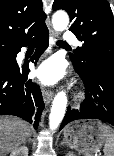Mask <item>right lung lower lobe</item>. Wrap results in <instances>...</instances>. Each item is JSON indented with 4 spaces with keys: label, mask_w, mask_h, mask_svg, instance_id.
<instances>
[{
    "label": "right lung lower lobe",
    "mask_w": 114,
    "mask_h": 156,
    "mask_svg": "<svg viewBox=\"0 0 114 156\" xmlns=\"http://www.w3.org/2000/svg\"><path fill=\"white\" fill-rule=\"evenodd\" d=\"M30 43L36 45V51L31 58L34 62L49 45V32L46 25L29 36L9 44L8 47L17 55L21 47ZM29 72L28 64L0 72V115L21 117L33 123L34 128L37 129L44 102L39 87L32 80H28Z\"/></svg>",
    "instance_id": "obj_1"
}]
</instances>
